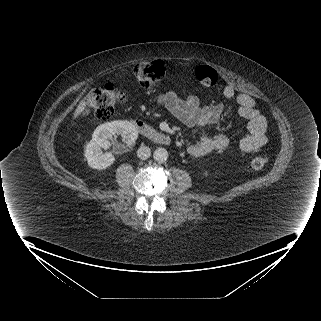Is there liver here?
Wrapping results in <instances>:
<instances>
[{"mask_svg":"<svg viewBox=\"0 0 321 321\" xmlns=\"http://www.w3.org/2000/svg\"><path fill=\"white\" fill-rule=\"evenodd\" d=\"M86 105H87V101L84 98L79 102L78 106L76 107L73 113V119L78 118V116L84 113V111L86 110Z\"/></svg>","mask_w":321,"mask_h":321,"instance_id":"6515ba94","label":"liver"}]
</instances>
